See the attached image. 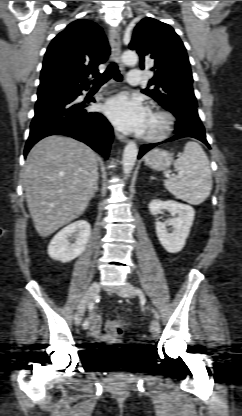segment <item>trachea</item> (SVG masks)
Listing matches in <instances>:
<instances>
[{
    "mask_svg": "<svg viewBox=\"0 0 242 416\" xmlns=\"http://www.w3.org/2000/svg\"><path fill=\"white\" fill-rule=\"evenodd\" d=\"M111 78H114L116 81H122V75L120 74L118 66L115 62H111L106 71L93 81V86H102Z\"/></svg>",
    "mask_w": 242,
    "mask_h": 416,
    "instance_id": "1",
    "label": "trachea"
}]
</instances>
